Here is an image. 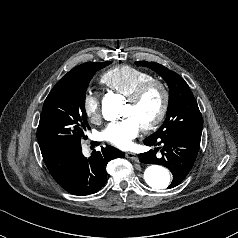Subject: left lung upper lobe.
<instances>
[{"instance_id": "obj_1", "label": "left lung upper lobe", "mask_w": 238, "mask_h": 238, "mask_svg": "<svg viewBox=\"0 0 238 238\" xmlns=\"http://www.w3.org/2000/svg\"><path fill=\"white\" fill-rule=\"evenodd\" d=\"M135 63L157 72L169 86V103L166 119L162 126L150 135L149 138H159L183 131L202 132V115L187 83L177 73L158 63L146 61Z\"/></svg>"}]
</instances>
